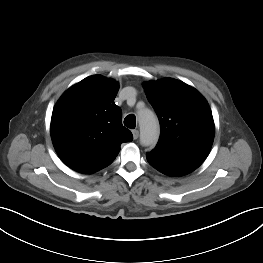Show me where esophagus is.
<instances>
[{
  "mask_svg": "<svg viewBox=\"0 0 263 263\" xmlns=\"http://www.w3.org/2000/svg\"><path fill=\"white\" fill-rule=\"evenodd\" d=\"M132 135H133V139L136 140L139 136V131L138 130H132Z\"/></svg>",
  "mask_w": 263,
  "mask_h": 263,
  "instance_id": "34e87169",
  "label": "esophagus"
}]
</instances>
